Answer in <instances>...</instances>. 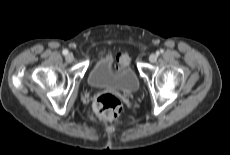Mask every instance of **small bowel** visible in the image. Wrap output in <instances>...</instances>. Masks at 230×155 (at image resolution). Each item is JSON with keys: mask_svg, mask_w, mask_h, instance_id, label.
<instances>
[{"mask_svg": "<svg viewBox=\"0 0 230 155\" xmlns=\"http://www.w3.org/2000/svg\"><path fill=\"white\" fill-rule=\"evenodd\" d=\"M119 64L122 67L125 66V65H127L128 64V57L126 55H121L119 57Z\"/></svg>", "mask_w": 230, "mask_h": 155, "instance_id": "c3829d8e", "label": "small bowel"}]
</instances>
